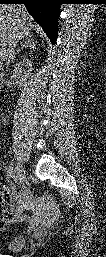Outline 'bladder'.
Here are the masks:
<instances>
[{"label":"bladder","mask_w":106,"mask_h":257,"mask_svg":"<svg viewBox=\"0 0 106 257\" xmlns=\"http://www.w3.org/2000/svg\"><path fill=\"white\" fill-rule=\"evenodd\" d=\"M25 244V238L23 235H15L9 238L6 242V249L10 252H18L23 248Z\"/></svg>","instance_id":"bladder-1"}]
</instances>
